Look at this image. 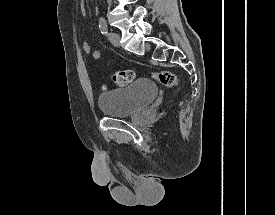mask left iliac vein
I'll list each match as a JSON object with an SVG mask.
<instances>
[{
  "mask_svg": "<svg viewBox=\"0 0 275 215\" xmlns=\"http://www.w3.org/2000/svg\"><path fill=\"white\" fill-rule=\"evenodd\" d=\"M108 36H109V40L114 46H117V47L120 46V36L118 33L110 32Z\"/></svg>",
  "mask_w": 275,
  "mask_h": 215,
  "instance_id": "1",
  "label": "left iliac vein"
}]
</instances>
